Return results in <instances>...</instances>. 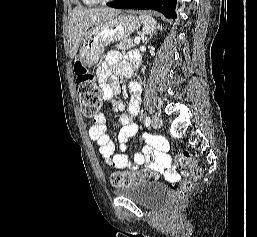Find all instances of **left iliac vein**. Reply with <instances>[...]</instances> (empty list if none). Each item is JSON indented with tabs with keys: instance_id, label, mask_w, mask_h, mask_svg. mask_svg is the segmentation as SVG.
Here are the masks:
<instances>
[{
	"instance_id": "1",
	"label": "left iliac vein",
	"mask_w": 257,
	"mask_h": 237,
	"mask_svg": "<svg viewBox=\"0 0 257 237\" xmlns=\"http://www.w3.org/2000/svg\"><path fill=\"white\" fill-rule=\"evenodd\" d=\"M163 125V121L162 119L159 117V116H155L152 120V126L155 128V129H159L161 128Z\"/></svg>"
}]
</instances>
